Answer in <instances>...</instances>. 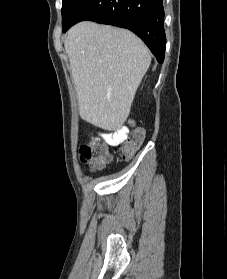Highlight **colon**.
Listing matches in <instances>:
<instances>
[{"label": "colon", "instance_id": "5ec220e1", "mask_svg": "<svg viewBox=\"0 0 227 279\" xmlns=\"http://www.w3.org/2000/svg\"><path fill=\"white\" fill-rule=\"evenodd\" d=\"M144 132L141 129H135L130 137L126 139L121 148L120 157L123 160L130 158L144 141ZM110 160V155L106 147L99 139L84 144L80 148V162L90 166L92 169H98Z\"/></svg>", "mask_w": 227, "mask_h": 279}]
</instances>
